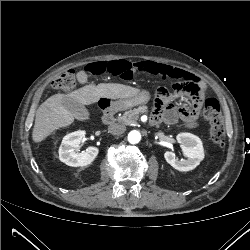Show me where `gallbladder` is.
<instances>
[{"label":"gallbladder","instance_id":"bac80fb5","mask_svg":"<svg viewBox=\"0 0 250 250\" xmlns=\"http://www.w3.org/2000/svg\"><path fill=\"white\" fill-rule=\"evenodd\" d=\"M62 104L76 119L83 121L89 118L87 109L79 102L71 98H64Z\"/></svg>","mask_w":250,"mask_h":250}]
</instances>
